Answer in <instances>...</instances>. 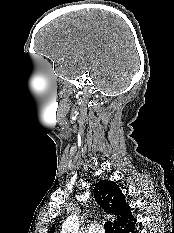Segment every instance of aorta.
I'll use <instances>...</instances> for the list:
<instances>
[{"label":"aorta","mask_w":174,"mask_h":233,"mask_svg":"<svg viewBox=\"0 0 174 233\" xmlns=\"http://www.w3.org/2000/svg\"><path fill=\"white\" fill-rule=\"evenodd\" d=\"M79 221L76 216L68 217L62 224L61 233H78Z\"/></svg>","instance_id":"762f6f07"}]
</instances>
